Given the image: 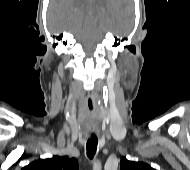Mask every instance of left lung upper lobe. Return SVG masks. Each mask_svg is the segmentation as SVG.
Returning <instances> with one entry per match:
<instances>
[{
    "mask_svg": "<svg viewBox=\"0 0 190 170\" xmlns=\"http://www.w3.org/2000/svg\"><path fill=\"white\" fill-rule=\"evenodd\" d=\"M120 170H154L150 165L143 162H133L126 158L121 159Z\"/></svg>",
    "mask_w": 190,
    "mask_h": 170,
    "instance_id": "5c2ea615",
    "label": "left lung upper lobe"
}]
</instances>
